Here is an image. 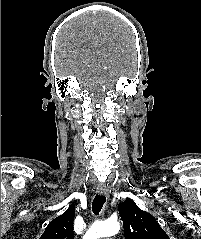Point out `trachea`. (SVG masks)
Masks as SVG:
<instances>
[{"label":"trachea","instance_id":"obj_1","mask_svg":"<svg viewBox=\"0 0 201 239\" xmlns=\"http://www.w3.org/2000/svg\"><path fill=\"white\" fill-rule=\"evenodd\" d=\"M106 202V197L104 195L97 194L92 202V211L95 215H98Z\"/></svg>","mask_w":201,"mask_h":239}]
</instances>
